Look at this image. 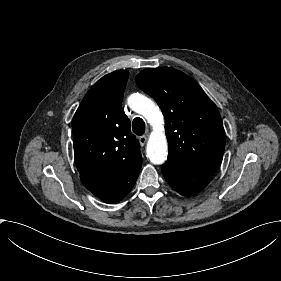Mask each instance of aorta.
<instances>
[{"instance_id": "762f6f07", "label": "aorta", "mask_w": 281, "mask_h": 281, "mask_svg": "<svg viewBox=\"0 0 281 281\" xmlns=\"http://www.w3.org/2000/svg\"><path fill=\"white\" fill-rule=\"evenodd\" d=\"M128 105L136 113L146 118L153 127L147 143V156L153 164H163L168 155V145L164 133V118L159 107L148 97L133 93L128 97Z\"/></svg>"}]
</instances>
